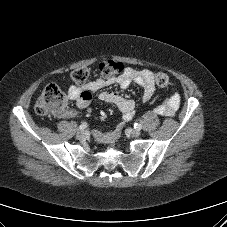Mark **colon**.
Returning <instances> with one entry per match:
<instances>
[{"label": "colon", "mask_w": 227, "mask_h": 227, "mask_svg": "<svg viewBox=\"0 0 227 227\" xmlns=\"http://www.w3.org/2000/svg\"><path fill=\"white\" fill-rule=\"evenodd\" d=\"M98 70L103 78H113L124 71V65L114 60H104L99 63ZM90 75L87 67H80L71 74V79L75 85L84 84ZM154 82L165 87L169 84V77L163 72L153 73ZM68 105L67 95L55 84L47 85L40 94L36 103V112L39 115H60L66 111Z\"/></svg>", "instance_id": "1"}]
</instances>
